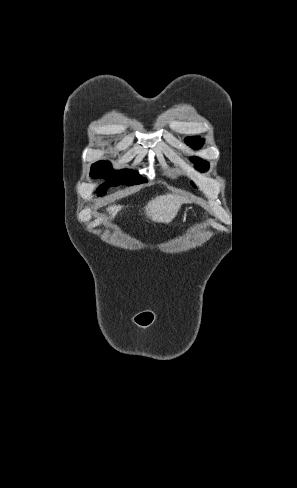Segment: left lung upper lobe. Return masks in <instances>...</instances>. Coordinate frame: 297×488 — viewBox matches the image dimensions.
<instances>
[{
    "label": "left lung upper lobe",
    "mask_w": 297,
    "mask_h": 488,
    "mask_svg": "<svg viewBox=\"0 0 297 488\" xmlns=\"http://www.w3.org/2000/svg\"><path fill=\"white\" fill-rule=\"evenodd\" d=\"M185 142L193 148H200L202 146L203 139H200V137L197 136L187 137ZM192 161L196 163V169L200 170L201 172H205L209 168V163L206 161H201L199 158H194Z\"/></svg>",
    "instance_id": "left-lung-upper-lobe-1"
}]
</instances>
